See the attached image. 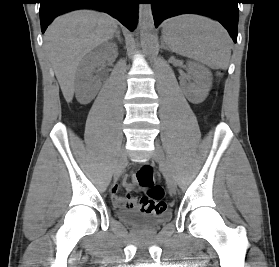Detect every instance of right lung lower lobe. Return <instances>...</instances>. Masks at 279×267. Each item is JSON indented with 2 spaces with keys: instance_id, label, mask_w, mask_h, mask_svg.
<instances>
[{
  "instance_id": "right-lung-lower-lobe-1",
  "label": "right lung lower lobe",
  "mask_w": 279,
  "mask_h": 267,
  "mask_svg": "<svg viewBox=\"0 0 279 267\" xmlns=\"http://www.w3.org/2000/svg\"><path fill=\"white\" fill-rule=\"evenodd\" d=\"M139 0H40L41 31L58 15L81 8L106 12L133 31L137 24Z\"/></svg>"
}]
</instances>
